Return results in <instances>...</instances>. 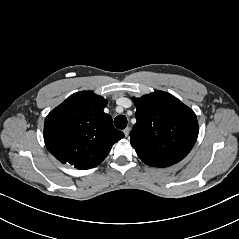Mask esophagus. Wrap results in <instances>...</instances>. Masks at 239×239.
I'll use <instances>...</instances> for the list:
<instances>
[{
  "mask_svg": "<svg viewBox=\"0 0 239 239\" xmlns=\"http://www.w3.org/2000/svg\"><path fill=\"white\" fill-rule=\"evenodd\" d=\"M123 132H124L125 137H128L129 133H130V128L126 127Z\"/></svg>",
  "mask_w": 239,
  "mask_h": 239,
  "instance_id": "esophagus-1",
  "label": "esophagus"
}]
</instances>
